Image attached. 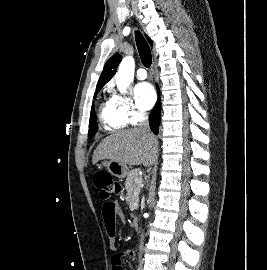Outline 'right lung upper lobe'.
Masks as SVG:
<instances>
[{
	"mask_svg": "<svg viewBox=\"0 0 267 270\" xmlns=\"http://www.w3.org/2000/svg\"><path fill=\"white\" fill-rule=\"evenodd\" d=\"M149 43L152 45L151 39L147 37ZM122 60V56L116 54L112 56L105 64L103 72L99 78L96 91H100L101 88L114 76L117 71L118 65Z\"/></svg>",
	"mask_w": 267,
	"mask_h": 270,
	"instance_id": "obj_1",
	"label": "right lung upper lobe"
}]
</instances>
